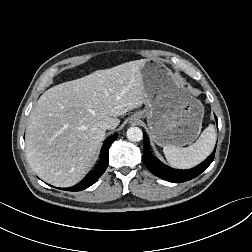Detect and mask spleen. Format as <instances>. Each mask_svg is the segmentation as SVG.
Listing matches in <instances>:
<instances>
[{"instance_id": "1", "label": "spleen", "mask_w": 252, "mask_h": 252, "mask_svg": "<svg viewBox=\"0 0 252 252\" xmlns=\"http://www.w3.org/2000/svg\"><path fill=\"white\" fill-rule=\"evenodd\" d=\"M215 143L216 132L214 127L209 125L194 144L188 147L165 145L163 152L170 165L180 169H188L207 158L213 151Z\"/></svg>"}]
</instances>
